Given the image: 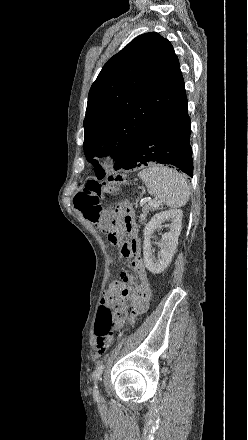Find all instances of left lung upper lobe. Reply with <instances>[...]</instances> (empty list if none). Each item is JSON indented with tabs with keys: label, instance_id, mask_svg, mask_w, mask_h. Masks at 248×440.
<instances>
[{
	"label": "left lung upper lobe",
	"instance_id": "obj_1",
	"mask_svg": "<svg viewBox=\"0 0 248 440\" xmlns=\"http://www.w3.org/2000/svg\"><path fill=\"white\" fill-rule=\"evenodd\" d=\"M185 94L171 43L156 32L142 34L111 57L93 83L84 119L83 149L99 179L94 156L116 157L117 169L142 133Z\"/></svg>",
	"mask_w": 248,
	"mask_h": 440
}]
</instances>
